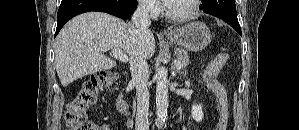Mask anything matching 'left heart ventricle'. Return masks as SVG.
I'll use <instances>...</instances> for the list:
<instances>
[{
    "label": "left heart ventricle",
    "mask_w": 299,
    "mask_h": 130,
    "mask_svg": "<svg viewBox=\"0 0 299 130\" xmlns=\"http://www.w3.org/2000/svg\"><path fill=\"white\" fill-rule=\"evenodd\" d=\"M190 0H178V1H174L171 4V10L173 13L179 14L182 12H185L190 5Z\"/></svg>",
    "instance_id": "left-heart-ventricle-1"
}]
</instances>
